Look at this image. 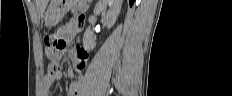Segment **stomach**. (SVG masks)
I'll use <instances>...</instances> for the list:
<instances>
[{
    "instance_id": "0dacf381",
    "label": "stomach",
    "mask_w": 232,
    "mask_h": 96,
    "mask_svg": "<svg viewBox=\"0 0 232 96\" xmlns=\"http://www.w3.org/2000/svg\"><path fill=\"white\" fill-rule=\"evenodd\" d=\"M74 0H52L44 16L46 27L57 25L72 7Z\"/></svg>"
}]
</instances>
